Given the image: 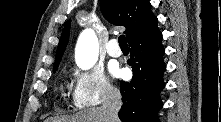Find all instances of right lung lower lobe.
Segmentation results:
<instances>
[{
    "mask_svg": "<svg viewBox=\"0 0 221 122\" xmlns=\"http://www.w3.org/2000/svg\"><path fill=\"white\" fill-rule=\"evenodd\" d=\"M162 33L157 22L145 33L129 41L133 78L120 82L123 106L119 111L122 122H159L157 112L162 107L160 91L164 88L163 62L165 52Z\"/></svg>",
    "mask_w": 221,
    "mask_h": 122,
    "instance_id": "98d812e1",
    "label": "right lung lower lobe"
}]
</instances>
